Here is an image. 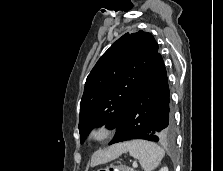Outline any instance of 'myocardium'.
Here are the masks:
<instances>
[{
    "instance_id": "obj_1",
    "label": "myocardium",
    "mask_w": 223,
    "mask_h": 171,
    "mask_svg": "<svg viewBox=\"0 0 223 171\" xmlns=\"http://www.w3.org/2000/svg\"><path fill=\"white\" fill-rule=\"evenodd\" d=\"M113 134V128L107 123H100L94 126L89 132V138L98 144L108 140Z\"/></svg>"
}]
</instances>
